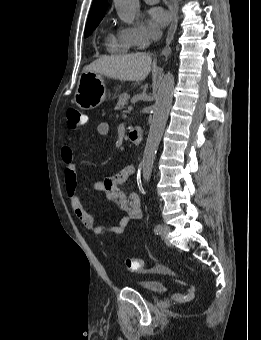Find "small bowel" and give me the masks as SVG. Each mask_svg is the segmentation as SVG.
<instances>
[{
    "instance_id": "1",
    "label": "small bowel",
    "mask_w": 261,
    "mask_h": 340,
    "mask_svg": "<svg viewBox=\"0 0 261 340\" xmlns=\"http://www.w3.org/2000/svg\"><path fill=\"white\" fill-rule=\"evenodd\" d=\"M85 120H87L86 117ZM97 133L100 136H107L109 133L108 123H99ZM61 159L65 164L64 180L68 200L74 215L85 229L93 232L96 236H102L107 232L122 234L133 221L141 219L142 209L139 196L136 193L127 195L121 189V185L125 183L129 177L134 175L135 167L133 165L126 166L116 174L104 180H97L93 184L96 191L103 193L107 201L116 203L119 209L125 214L117 225L103 226L95 224L94 218L84 210L77 196L76 165L71 147H62Z\"/></svg>"
}]
</instances>
